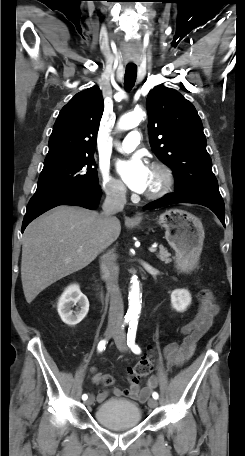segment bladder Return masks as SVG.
<instances>
[{"instance_id": "bladder-1", "label": "bladder", "mask_w": 245, "mask_h": 456, "mask_svg": "<svg viewBox=\"0 0 245 456\" xmlns=\"http://www.w3.org/2000/svg\"><path fill=\"white\" fill-rule=\"evenodd\" d=\"M95 419L106 428L125 430L141 423L142 412L140 407L132 401L112 398L96 408Z\"/></svg>"}]
</instances>
